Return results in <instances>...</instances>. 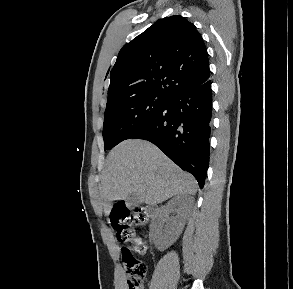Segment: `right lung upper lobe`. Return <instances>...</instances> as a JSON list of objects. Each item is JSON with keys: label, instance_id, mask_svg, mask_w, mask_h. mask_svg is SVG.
Here are the masks:
<instances>
[{"label": "right lung upper lobe", "instance_id": "obj_1", "mask_svg": "<svg viewBox=\"0 0 293 289\" xmlns=\"http://www.w3.org/2000/svg\"><path fill=\"white\" fill-rule=\"evenodd\" d=\"M209 77L208 53L196 27L180 15L165 17L120 50L107 105L146 93L170 98Z\"/></svg>", "mask_w": 293, "mask_h": 289}]
</instances>
